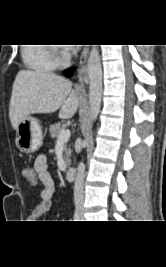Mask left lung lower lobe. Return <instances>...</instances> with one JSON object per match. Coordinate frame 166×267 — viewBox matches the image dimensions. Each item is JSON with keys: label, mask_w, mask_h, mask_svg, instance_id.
Returning <instances> with one entry per match:
<instances>
[{"label": "left lung lower lobe", "mask_w": 166, "mask_h": 267, "mask_svg": "<svg viewBox=\"0 0 166 267\" xmlns=\"http://www.w3.org/2000/svg\"><path fill=\"white\" fill-rule=\"evenodd\" d=\"M72 73H73V69H69L64 74L65 75H71Z\"/></svg>", "instance_id": "left-lung-lower-lobe-1"}]
</instances>
